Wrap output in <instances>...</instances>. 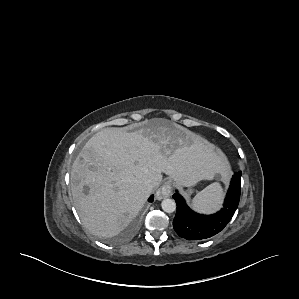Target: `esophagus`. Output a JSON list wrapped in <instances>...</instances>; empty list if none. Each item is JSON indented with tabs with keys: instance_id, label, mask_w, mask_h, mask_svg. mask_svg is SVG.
<instances>
[{
	"instance_id": "obj_1",
	"label": "esophagus",
	"mask_w": 299,
	"mask_h": 299,
	"mask_svg": "<svg viewBox=\"0 0 299 299\" xmlns=\"http://www.w3.org/2000/svg\"><path fill=\"white\" fill-rule=\"evenodd\" d=\"M172 192V183L170 181H166L157 191V198L163 199L165 197H169Z\"/></svg>"
}]
</instances>
